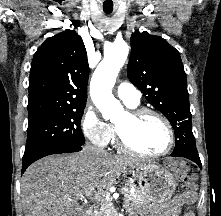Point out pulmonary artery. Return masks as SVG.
<instances>
[{"instance_id": "e3ab8cb5", "label": "pulmonary artery", "mask_w": 221, "mask_h": 216, "mask_svg": "<svg viewBox=\"0 0 221 216\" xmlns=\"http://www.w3.org/2000/svg\"><path fill=\"white\" fill-rule=\"evenodd\" d=\"M117 96L128 106H136L140 103L139 90L129 82H122L116 88Z\"/></svg>"}]
</instances>
